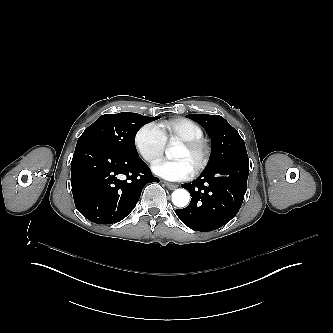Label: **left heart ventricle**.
<instances>
[{"label":"left heart ventricle","instance_id":"1","mask_svg":"<svg viewBox=\"0 0 333 333\" xmlns=\"http://www.w3.org/2000/svg\"><path fill=\"white\" fill-rule=\"evenodd\" d=\"M177 159L187 161L193 167H195L196 157L185 146L182 147L181 151L177 156Z\"/></svg>","mask_w":333,"mask_h":333}]
</instances>
